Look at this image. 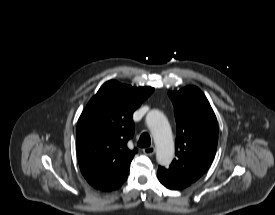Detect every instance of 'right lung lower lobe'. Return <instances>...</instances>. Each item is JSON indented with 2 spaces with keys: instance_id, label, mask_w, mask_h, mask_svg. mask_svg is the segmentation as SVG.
<instances>
[{
  "instance_id": "obj_1",
  "label": "right lung lower lobe",
  "mask_w": 275,
  "mask_h": 215,
  "mask_svg": "<svg viewBox=\"0 0 275 215\" xmlns=\"http://www.w3.org/2000/svg\"><path fill=\"white\" fill-rule=\"evenodd\" d=\"M123 183V182H122ZM122 183L120 184V185H118L117 187H115V188H112V189H105L104 191H110V190H114V189H117V188H119L121 185H122Z\"/></svg>"
}]
</instances>
